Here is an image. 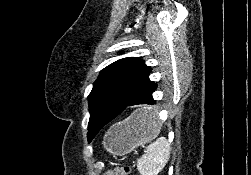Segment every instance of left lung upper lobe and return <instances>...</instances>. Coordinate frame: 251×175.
I'll list each match as a JSON object with an SVG mask.
<instances>
[{
    "label": "left lung upper lobe",
    "mask_w": 251,
    "mask_h": 175,
    "mask_svg": "<svg viewBox=\"0 0 251 175\" xmlns=\"http://www.w3.org/2000/svg\"><path fill=\"white\" fill-rule=\"evenodd\" d=\"M151 70L142 59L127 57L113 62L101 71L88 96L90 120L87 138L89 142L105 126L97 120L96 111L110 103H126Z\"/></svg>",
    "instance_id": "1"
}]
</instances>
